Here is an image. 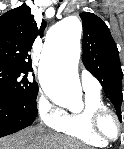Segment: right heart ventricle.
Listing matches in <instances>:
<instances>
[{
	"label": "right heart ventricle",
	"instance_id": "e07e8e85",
	"mask_svg": "<svg viewBox=\"0 0 124 149\" xmlns=\"http://www.w3.org/2000/svg\"><path fill=\"white\" fill-rule=\"evenodd\" d=\"M106 107L101 95L96 91H85L84 107L79 111L65 112L56 131L94 148H103L108 142L99 138L92 129V113Z\"/></svg>",
	"mask_w": 124,
	"mask_h": 149
}]
</instances>
